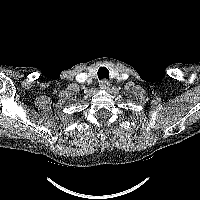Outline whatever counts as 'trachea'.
Masks as SVG:
<instances>
[{
	"label": "trachea",
	"instance_id": "1",
	"mask_svg": "<svg viewBox=\"0 0 200 200\" xmlns=\"http://www.w3.org/2000/svg\"><path fill=\"white\" fill-rule=\"evenodd\" d=\"M98 78L99 79H108L109 71L106 67H100L98 70Z\"/></svg>",
	"mask_w": 200,
	"mask_h": 200
}]
</instances>
